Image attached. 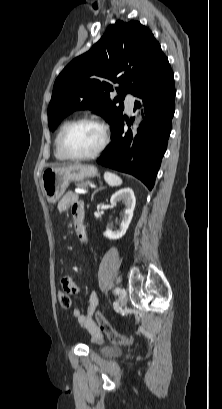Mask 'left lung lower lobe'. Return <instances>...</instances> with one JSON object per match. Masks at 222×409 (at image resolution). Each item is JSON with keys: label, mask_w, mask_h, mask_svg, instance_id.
<instances>
[{"label": "left lung lower lobe", "mask_w": 222, "mask_h": 409, "mask_svg": "<svg viewBox=\"0 0 222 409\" xmlns=\"http://www.w3.org/2000/svg\"><path fill=\"white\" fill-rule=\"evenodd\" d=\"M175 93L170 68L136 95L143 100L145 118L135 139L130 132L122 135L124 117L120 115L111 126L112 142L97 163L131 174L151 190L171 132Z\"/></svg>", "instance_id": "1"}]
</instances>
